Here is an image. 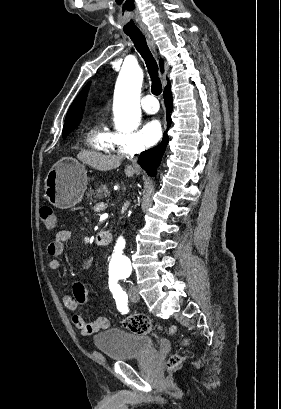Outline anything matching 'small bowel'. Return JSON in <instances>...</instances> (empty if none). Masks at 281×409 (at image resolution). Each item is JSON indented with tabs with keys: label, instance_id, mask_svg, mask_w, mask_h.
Returning <instances> with one entry per match:
<instances>
[{
	"label": "small bowel",
	"instance_id": "obj_1",
	"mask_svg": "<svg viewBox=\"0 0 281 409\" xmlns=\"http://www.w3.org/2000/svg\"><path fill=\"white\" fill-rule=\"evenodd\" d=\"M71 238V231L62 229L57 234L53 241L48 245V252L53 257L49 262V267L53 271L61 270V262L57 258L64 252L65 243ZM63 302L66 308L71 313V321L73 325L79 329L81 335L87 336L106 330L110 327V321L106 317H99L93 322H88L79 313V306L85 304L89 299V289L82 282H74L72 291H70L67 283H63Z\"/></svg>",
	"mask_w": 281,
	"mask_h": 409
}]
</instances>
